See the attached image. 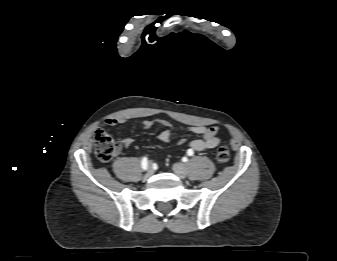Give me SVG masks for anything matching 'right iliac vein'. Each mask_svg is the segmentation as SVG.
Wrapping results in <instances>:
<instances>
[{"mask_svg":"<svg viewBox=\"0 0 337 261\" xmlns=\"http://www.w3.org/2000/svg\"><path fill=\"white\" fill-rule=\"evenodd\" d=\"M154 173V170L151 166L148 167L146 177H150Z\"/></svg>","mask_w":337,"mask_h":261,"instance_id":"right-iliac-vein-1","label":"right iliac vein"}]
</instances>
